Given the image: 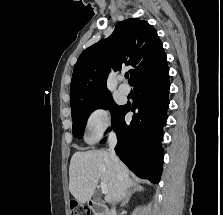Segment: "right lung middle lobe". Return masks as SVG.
<instances>
[{"label":"right lung middle lobe","instance_id":"dd1d6c3e","mask_svg":"<svg viewBox=\"0 0 223 215\" xmlns=\"http://www.w3.org/2000/svg\"><path fill=\"white\" fill-rule=\"evenodd\" d=\"M98 108L110 109L112 116V128L117 125L118 120L124 110V106H118L117 104H115L111 95L91 103L82 104L71 108L73 120L72 132L75 138H82L88 116L92 111Z\"/></svg>","mask_w":223,"mask_h":215}]
</instances>
